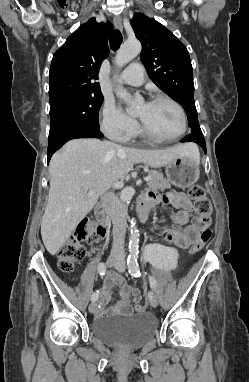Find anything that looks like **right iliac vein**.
I'll use <instances>...</instances> for the list:
<instances>
[{
	"mask_svg": "<svg viewBox=\"0 0 249 382\" xmlns=\"http://www.w3.org/2000/svg\"><path fill=\"white\" fill-rule=\"evenodd\" d=\"M119 261V257L118 256H109L106 260V265L107 267H112L114 266L117 262ZM97 309V303L96 301H92L89 305V312L90 313H94Z\"/></svg>",
	"mask_w": 249,
	"mask_h": 382,
	"instance_id": "1",
	"label": "right iliac vein"
}]
</instances>
